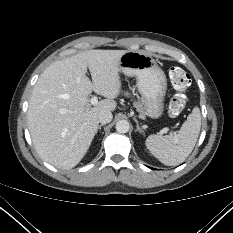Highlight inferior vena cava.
<instances>
[{"label":"inferior vena cava","instance_id":"602c4592","mask_svg":"<svg viewBox=\"0 0 233 233\" xmlns=\"http://www.w3.org/2000/svg\"><path fill=\"white\" fill-rule=\"evenodd\" d=\"M112 119H113V115H112L111 111L104 110V111H101L98 115V121L101 124H107V123L111 122Z\"/></svg>","mask_w":233,"mask_h":233}]
</instances>
